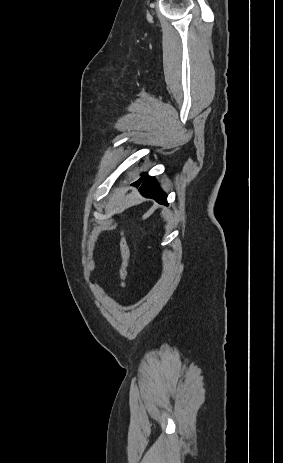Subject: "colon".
Returning <instances> with one entry per match:
<instances>
[{"instance_id":"1","label":"colon","mask_w":283,"mask_h":463,"mask_svg":"<svg viewBox=\"0 0 283 463\" xmlns=\"http://www.w3.org/2000/svg\"><path fill=\"white\" fill-rule=\"evenodd\" d=\"M119 247H120V266L118 270V280L121 288L126 286V280L128 276L129 260H130V249L127 243V239L124 233L119 235Z\"/></svg>"}]
</instances>
